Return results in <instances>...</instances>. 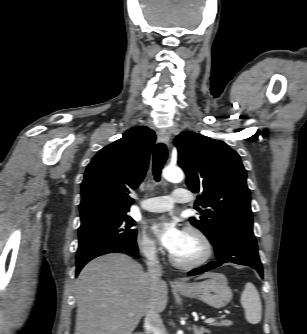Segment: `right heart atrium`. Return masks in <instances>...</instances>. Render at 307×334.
Wrapping results in <instances>:
<instances>
[{
  "mask_svg": "<svg viewBox=\"0 0 307 334\" xmlns=\"http://www.w3.org/2000/svg\"><path fill=\"white\" fill-rule=\"evenodd\" d=\"M136 245L141 255L147 261H154L158 258L159 248L157 244L144 231L138 233Z\"/></svg>",
  "mask_w": 307,
  "mask_h": 334,
  "instance_id": "right-heart-atrium-1",
  "label": "right heart atrium"
}]
</instances>
